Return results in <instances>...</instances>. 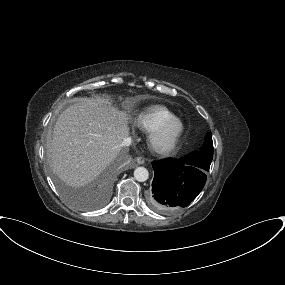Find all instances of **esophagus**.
Here are the masks:
<instances>
[{
  "label": "esophagus",
  "mask_w": 285,
  "mask_h": 285,
  "mask_svg": "<svg viewBox=\"0 0 285 285\" xmlns=\"http://www.w3.org/2000/svg\"><path fill=\"white\" fill-rule=\"evenodd\" d=\"M136 162L138 163V164H144V162H145V160H144V158L143 157H136Z\"/></svg>",
  "instance_id": "obj_1"
}]
</instances>
